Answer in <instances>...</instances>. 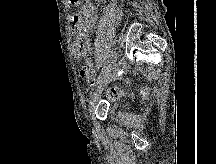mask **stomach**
Segmentation results:
<instances>
[{
  "instance_id": "0dacf381",
  "label": "stomach",
  "mask_w": 216,
  "mask_h": 164,
  "mask_svg": "<svg viewBox=\"0 0 216 164\" xmlns=\"http://www.w3.org/2000/svg\"><path fill=\"white\" fill-rule=\"evenodd\" d=\"M83 0H68V3L71 5V6H78L82 3Z\"/></svg>"
}]
</instances>
